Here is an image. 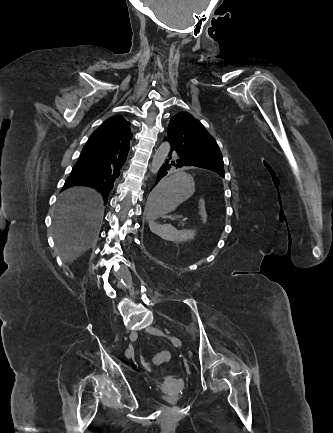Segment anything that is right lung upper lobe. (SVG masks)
Listing matches in <instances>:
<instances>
[{"instance_id": "cb5924a9", "label": "right lung upper lobe", "mask_w": 333, "mask_h": 433, "mask_svg": "<svg viewBox=\"0 0 333 433\" xmlns=\"http://www.w3.org/2000/svg\"><path fill=\"white\" fill-rule=\"evenodd\" d=\"M130 123L122 116H114L105 120L92 136L96 140L95 146L99 149H118L128 146L132 138Z\"/></svg>"}]
</instances>
